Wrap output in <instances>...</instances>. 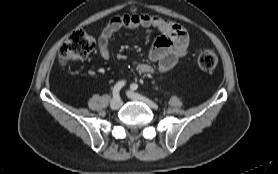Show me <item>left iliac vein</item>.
Here are the masks:
<instances>
[{
    "label": "left iliac vein",
    "mask_w": 278,
    "mask_h": 174,
    "mask_svg": "<svg viewBox=\"0 0 278 174\" xmlns=\"http://www.w3.org/2000/svg\"><path fill=\"white\" fill-rule=\"evenodd\" d=\"M127 96L132 100L141 101V102L145 103L146 105H148L149 107L154 108L156 106V104L152 100H150L138 93H134L133 91H127Z\"/></svg>",
    "instance_id": "1"
}]
</instances>
